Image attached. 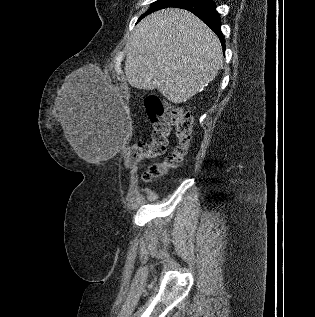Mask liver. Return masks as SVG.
<instances>
[{
	"instance_id": "liver-1",
	"label": "liver",
	"mask_w": 315,
	"mask_h": 317,
	"mask_svg": "<svg viewBox=\"0 0 315 317\" xmlns=\"http://www.w3.org/2000/svg\"><path fill=\"white\" fill-rule=\"evenodd\" d=\"M222 60L218 37L194 14L167 8L145 17L135 27L125 61L128 83L157 88L178 104L196 95L217 75ZM68 86L60 99V123L75 152L85 158L84 127Z\"/></svg>"
}]
</instances>
